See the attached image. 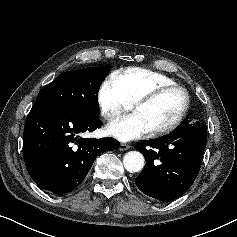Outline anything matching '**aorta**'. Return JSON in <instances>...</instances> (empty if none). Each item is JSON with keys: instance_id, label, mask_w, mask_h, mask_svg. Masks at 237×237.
Listing matches in <instances>:
<instances>
[{"instance_id": "762f6f07", "label": "aorta", "mask_w": 237, "mask_h": 237, "mask_svg": "<svg viewBox=\"0 0 237 237\" xmlns=\"http://www.w3.org/2000/svg\"><path fill=\"white\" fill-rule=\"evenodd\" d=\"M145 159L138 151H130L123 157V164L128 172L135 173L143 169Z\"/></svg>"}]
</instances>
